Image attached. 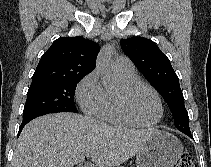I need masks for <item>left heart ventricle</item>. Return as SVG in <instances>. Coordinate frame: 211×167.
<instances>
[{"mask_svg": "<svg viewBox=\"0 0 211 167\" xmlns=\"http://www.w3.org/2000/svg\"><path fill=\"white\" fill-rule=\"evenodd\" d=\"M122 88L117 92L120 93ZM126 105L130 113L140 122L152 123L160 115V109L154 94L141 88L126 97Z\"/></svg>", "mask_w": 211, "mask_h": 167, "instance_id": "b2bd125f", "label": "left heart ventricle"}]
</instances>
